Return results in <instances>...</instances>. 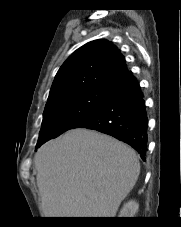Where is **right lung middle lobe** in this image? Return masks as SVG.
Listing matches in <instances>:
<instances>
[{"label": "right lung middle lobe", "mask_w": 181, "mask_h": 227, "mask_svg": "<svg viewBox=\"0 0 181 227\" xmlns=\"http://www.w3.org/2000/svg\"><path fill=\"white\" fill-rule=\"evenodd\" d=\"M109 88L59 98L45 106L36 148L93 115L105 102Z\"/></svg>", "instance_id": "obj_1"}]
</instances>
